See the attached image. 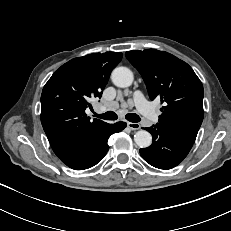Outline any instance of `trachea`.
Masks as SVG:
<instances>
[{
    "mask_svg": "<svg viewBox=\"0 0 231 231\" xmlns=\"http://www.w3.org/2000/svg\"><path fill=\"white\" fill-rule=\"evenodd\" d=\"M94 116L100 119H104V120H116L118 118L117 114L112 111H108L104 114L95 113ZM125 117L128 121L133 122V123H137L141 120V118L135 113L126 114Z\"/></svg>",
    "mask_w": 231,
    "mask_h": 231,
    "instance_id": "trachea-1",
    "label": "trachea"
}]
</instances>
